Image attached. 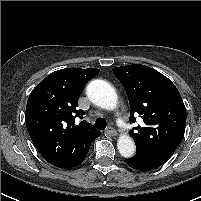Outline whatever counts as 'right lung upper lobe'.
<instances>
[{
	"mask_svg": "<svg viewBox=\"0 0 201 201\" xmlns=\"http://www.w3.org/2000/svg\"><path fill=\"white\" fill-rule=\"evenodd\" d=\"M96 68H66L49 74L30 93L26 106L28 133L42 157L59 168L78 166L91 142L100 136L83 118L77 102L84 85L99 74Z\"/></svg>",
	"mask_w": 201,
	"mask_h": 201,
	"instance_id": "cb5924a9",
	"label": "right lung upper lobe"
}]
</instances>
